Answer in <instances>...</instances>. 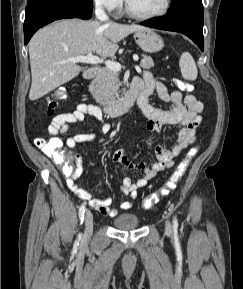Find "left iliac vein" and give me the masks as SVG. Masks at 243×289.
Here are the masks:
<instances>
[{
	"label": "left iliac vein",
	"instance_id": "1",
	"mask_svg": "<svg viewBox=\"0 0 243 289\" xmlns=\"http://www.w3.org/2000/svg\"><path fill=\"white\" fill-rule=\"evenodd\" d=\"M165 231H166L167 234H171L172 233L171 224H170V222L168 220L165 223Z\"/></svg>",
	"mask_w": 243,
	"mask_h": 289
}]
</instances>
